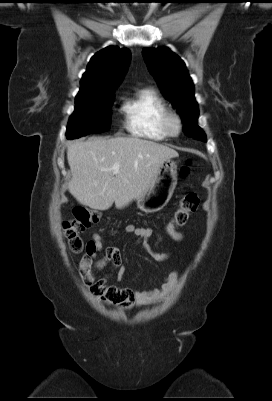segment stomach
Here are the masks:
<instances>
[{"label": "stomach", "mask_w": 272, "mask_h": 401, "mask_svg": "<svg viewBox=\"0 0 272 401\" xmlns=\"http://www.w3.org/2000/svg\"><path fill=\"white\" fill-rule=\"evenodd\" d=\"M177 184V165L171 158L165 160L150 186L136 198L138 208L145 213L161 210L169 202Z\"/></svg>", "instance_id": "obj_1"}]
</instances>
